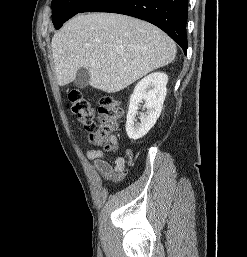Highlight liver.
<instances>
[{"mask_svg":"<svg viewBox=\"0 0 247 257\" xmlns=\"http://www.w3.org/2000/svg\"><path fill=\"white\" fill-rule=\"evenodd\" d=\"M51 45L58 85L73 82L85 68L89 84L107 93L123 90L176 56V44L158 27L115 13L77 15L54 34Z\"/></svg>","mask_w":247,"mask_h":257,"instance_id":"liver-1","label":"liver"}]
</instances>
